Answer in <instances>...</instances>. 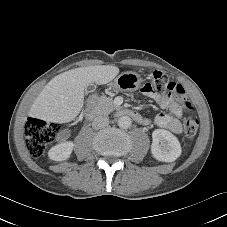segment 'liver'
I'll use <instances>...</instances> for the list:
<instances>
[{"label": "liver", "mask_w": 227, "mask_h": 227, "mask_svg": "<svg viewBox=\"0 0 227 227\" xmlns=\"http://www.w3.org/2000/svg\"><path fill=\"white\" fill-rule=\"evenodd\" d=\"M119 68L99 65L75 68L55 76L40 92L30 109L31 116L53 123H68L84 104V90L92 83L107 84Z\"/></svg>", "instance_id": "obj_1"}]
</instances>
